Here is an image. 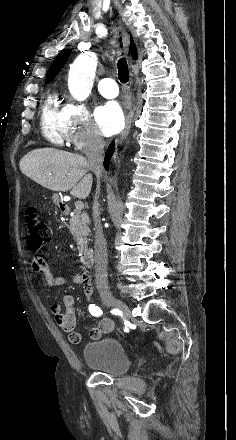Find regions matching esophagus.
I'll return each instance as SVG.
<instances>
[{
    "label": "esophagus",
    "mask_w": 236,
    "mask_h": 440,
    "mask_svg": "<svg viewBox=\"0 0 236 440\" xmlns=\"http://www.w3.org/2000/svg\"><path fill=\"white\" fill-rule=\"evenodd\" d=\"M132 117H133V110H130L126 116L125 128L121 133L120 137L117 139V143H120L126 137L131 126Z\"/></svg>",
    "instance_id": "esophagus-1"
}]
</instances>
